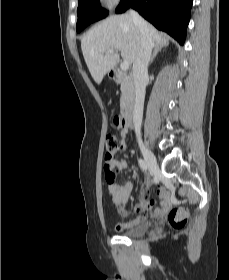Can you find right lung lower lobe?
I'll return each mask as SVG.
<instances>
[{"instance_id":"1","label":"right lung lower lobe","mask_w":229,"mask_h":280,"mask_svg":"<svg viewBox=\"0 0 229 280\" xmlns=\"http://www.w3.org/2000/svg\"><path fill=\"white\" fill-rule=\"evenodd\" d=\"M193 0H122L116 13L132 7L157 29L163 30L181 44L184 43L186 27L190 19Z\"/></svg>"}]
</instances>
